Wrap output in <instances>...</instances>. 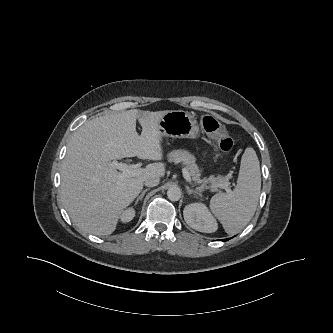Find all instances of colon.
<instances>
[{
    "label": "colon",
    "mask_w": 333,
    "mask_h": 333,
    "mask_svg": "<svg viewBox=\"0 0 333 333\" xmlns=\"http://www.w3.org/2000/svg\"><path fill=\"white\" fill-rule=\"evenodd\" d=\"M202 126L208 134L215 138L220 150L228 152L233 148L234 142L231 135L214 117L204 116Z\"/></svg>",
    "instance_id": "5ec220e1"
}]
</instances>
